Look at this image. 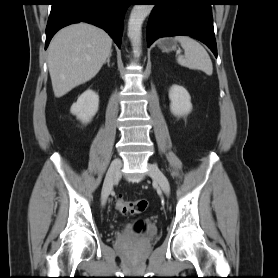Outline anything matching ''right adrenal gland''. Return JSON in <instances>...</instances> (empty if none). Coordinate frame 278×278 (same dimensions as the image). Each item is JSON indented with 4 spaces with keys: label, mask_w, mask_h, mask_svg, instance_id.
Instances as JSON below:
<instances>
[{
    "label": "right adrenal gland",
    "mask_w": 278,
    "mask_h": 278,
    "mask_svg": "<svg viewBox=\"0 0 278 278\" xmlns=\"http://www.w3.org/2000/svg\"><path fill=\"white\" fill-rule=\"evenodd\" d=\"M110 58L111 54L107 57V60L105 61V64L107 63L108 67H110Z\"/></svg>",
    "instance_id": "2a0ac1e0"
}]
</instances>
